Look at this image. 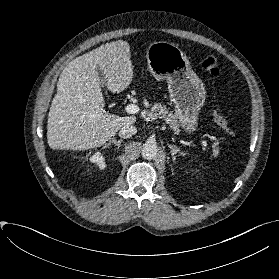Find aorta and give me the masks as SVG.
<instances>
[{
    "label": "aorta",
    "instance_id": "aorta-1",
    "mask_svg": "<svg viewBox=\"0 0 279 279\" xmlns=\"http://www.w3.org/2000/svg\"><path fill=\"white\" fill-rule=\"evenodd\" d=\"M157 152H158V149H157L156 143L148 141L145 144H143V147H142L143 158H145L147 160L155 159L157 157Z\"/></svg>",
    "mask_w": 279,
    "mask_h": 279
}]
</instances>
